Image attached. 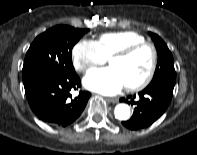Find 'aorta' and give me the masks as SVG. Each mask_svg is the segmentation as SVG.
<instances>
[{
  "label": "aorta",
  "instance_id": "obj_1",
  "mask_svg": "<svg viewBox=\"0 0 197 155\" xmlns=\"http://www.w3.org/2000/svg\"><path fill=\"white\" fill-rule=\"evenodd\" d=\"M115 118L128 120L130 118V107L127 104H118L114 110Z\"/></svg>",
  "mask_w": 197,
  "mask_h": 155
}]
</instances>
